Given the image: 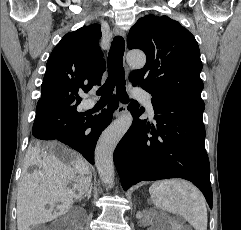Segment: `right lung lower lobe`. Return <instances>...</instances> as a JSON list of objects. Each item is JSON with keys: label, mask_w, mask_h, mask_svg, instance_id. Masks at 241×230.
<instances>
[{"label": "right lung lower lobe", "mask_w": 241, "mask_h": 230, "mask_svg": "<svg viewBox=\"0 0 241 230\" xmlns=\"http://www.w3.org/2000/svg\"><path fill=\"white\" fill-rule=\"evenodd\" d=\"M118 106L117 98L112 96L107 109H104L99 115L85 117L78 126L65 132L53 130L41 123L42 114L36 111L32 128L33 136L41 140H59L80 152L86 160L94 164V151L97 140L102 131L112 121L113 111ZM87 128H91L89 134L85 133Z\"/></svg>", "instance_id": "98d812e1"}]
</instances>
